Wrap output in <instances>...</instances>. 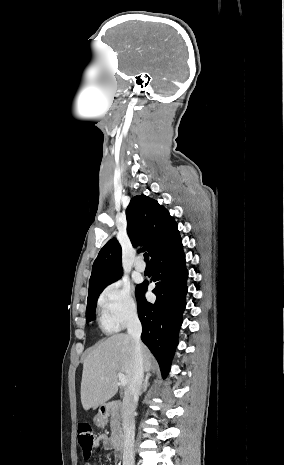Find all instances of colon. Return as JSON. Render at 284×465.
<instances>
[{
  "instance_id": "5ec220e1",
  "label": "colon",
  "mask_w": 284,
  "mask_h": 465,
  "mask_svg": "<svg viewBox=\"0 0 284 465\" xmlns=\"http://www.w3.org/2000/svg\"><path fill=\"white\" fill-rule=\"evenodd\" d=\"M79 445L81 447V455L84 460L91 457L92 448L95 443V436L89 423H82L78 426Z\"/></svg>"
}]
</instances>
